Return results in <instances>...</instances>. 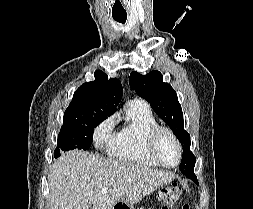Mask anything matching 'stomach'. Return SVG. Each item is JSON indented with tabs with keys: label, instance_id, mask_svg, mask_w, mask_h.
I'll use <instances>...</instances> for the list:
<instances>
[{
	"label": "stomach",
	"instance_id": "0dacf381",
	"mask_svg": "<svg viewBox=\"0 0 253 209\" xmlns=\"http://www.w3.org/2000/svg\"><path fill=\"white\" fill-rule=\"evenodd\" d=\"M136 188V187H135ZM169 187L161 186V193H160V199L164 201V203L168 204V197L167 192L169 191ZM160 190V189H159ZM130 201V191H121V196H119L118 199H116V204L113 206L112 209H134V206H132V202Z\"/></svg>",
	"mask_w": 253,
	"mask_h": 209
}]
</instances>
